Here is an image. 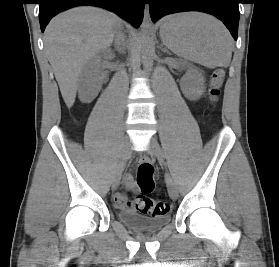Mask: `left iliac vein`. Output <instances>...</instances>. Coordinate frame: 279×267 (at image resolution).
Here are the masks:
<instances>
[{"label": "left iliac vein", "instance_id": "4c4485c4", "mask_svg": "<svg viewBox=\"0 0 279 267\" xmlns=\"http://www.w3.org/2000/svg\"><path fill=\"white\" fill-rule=\"evenodd\" d=\"M149 152L152 156H155L158 159H161V157H162V150H161L160 144L154 137H152L150 139ZM166 181H167V188H168L169 196L171 197V199L176 200L178 197V189H177L174 181L172 180V178L170 176H167Z\"/></svg>", "mask_w": 279, "mask_h": 267}]
</instances>
